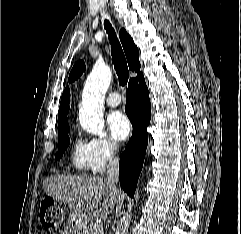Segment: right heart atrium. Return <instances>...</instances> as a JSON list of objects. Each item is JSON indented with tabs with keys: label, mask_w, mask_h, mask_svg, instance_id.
I'll return each mask as SVG.
<instances>
[{
	"label": "right heart atrium",
	"mask_w": 241,
	"mask_h": 234,
	"mask_svg": "<svg viewBox=\"0 0 241 234\" xmlns=\"http://www.w3.org/2000/svg\"><path fill=\"white\" fill-rule=\"evenodd\" d=\"M87 143L91 152L93 171L102 172L116 160L119 145L114 139L110 137L91 138Z\"/></svg>",
	"instance_id": "obj_1"
}]
</instances>
